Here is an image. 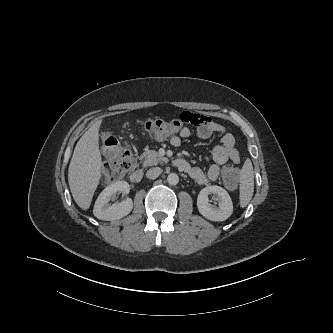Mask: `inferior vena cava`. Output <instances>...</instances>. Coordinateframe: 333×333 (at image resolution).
<instances>
[{
	"label": "inferior vena cava",
	"mask_w": 333,
	"mask_h": 333,
	"mask_svg": "<svg viewBox=\"0 0 333 333\" xmlns=\"http://www.w3.org/2000/svg\"><path fill=\"white\" fill-rule=\"evenodd\" d=\"M162 173V169L159 167L150 168L146 172V177L149 179H156Z\"/></svg>",
	"instance_id": "inferior-vena-cava-1"
}]
</instances>
